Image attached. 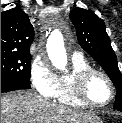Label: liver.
<instances>
[{
  "mask_svg": "<svg viewBox=\"0 0 122 123\" xmlns=\"http://www.w3.org/2000/svg\"><path fill=\"white\" fill-rule=\"evenodd\" d=\"M100 119L92 112L51 102L32 91L1 95V123H88Z\"/></svg>",
  "mask_w": 122,
  "mask_h": 123,
  "instance_id": "6515ba94",
  "label": "liver"
}]
</instances>
